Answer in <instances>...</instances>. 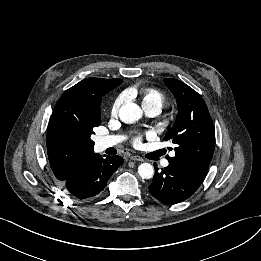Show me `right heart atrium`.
Segmentation results:
<instances>
[{
	"label": "right heart atrium",
	"instance_id": "right-heart-atrium-1",
	"mask_svg": "<svg viewBox=\"0 0 261 261\" xmlns=\"http://www.w3.org/2000/svg\"><path fill=\"white\" fill-rule=\"evenodd\" d=\"M127 98V93H121L119 96H117L115 98V100L113 101L112 105H111V115L112 116H117L119 109L121 107V105L123 104V102L125 101V99Z\"/></svg>",
	"mask_w": 261,
	"mask_h": 261
}]
</instances>
